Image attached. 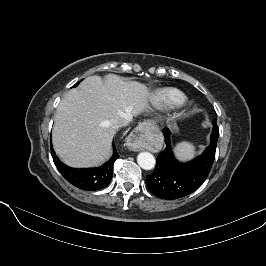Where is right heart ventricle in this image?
Wrapping results in <instances>:
<instances>
[{"mask_svg":"<svg viewBox=\"0 0 266 266\" xmlns=\"http://www.w3.org/2000/svg\"><path fill=\"white\" fill-rule=\"evenodd\" d=\"M154 102L158 108L170 110L183 106L187 102V98L177 89L165 88L157 93Z\"/></svg>","mask_w":266,"mask_h":266,"instance_id":"1","label":"right heart ventricle"}]
</instances>
